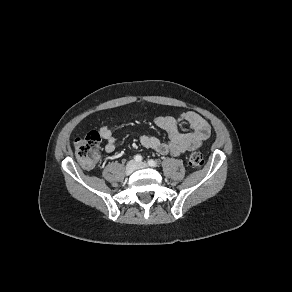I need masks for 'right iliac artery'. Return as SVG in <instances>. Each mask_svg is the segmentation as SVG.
Returning a JSON list of instances; mask_svg holds the SVG:
<instances>
[{
	"label": "right iliac artery",
	"instance_id": "82829eb1",
	"mask_svg": "<svg viewBox=\"0 0 292 292\" xmlns=\"http://www.w3.org/2000/svg\"><path fill=\"white\" fill-rule=\"evenodd\" d=\"M134 160L136 161V162H141L142 161V156L141 155H136L135 157H134Z\"/></svg>",
	"mask_w": 292,
	"mask_h": 292
}]
</instances>
